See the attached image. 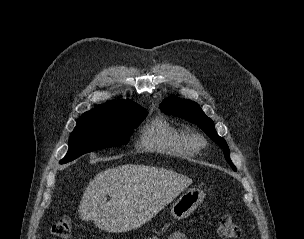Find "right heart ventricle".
<instances>
[{"label": "right heart ventricle", "mask_w": 304, "mask_h": 239, "mask_svg": "<svg viewBox=\"0 0 304 239\" xmlns=\"http://www.w3.org/2000/svg\"><path fill=\"white\" fill-rule=\"evenodd\" d=\"M140 145L148 151L177 157H191L197 152L186 131L160 117L152 119L142 128Z\"/></svg>", "instance_id": "e07e8e85"}]
</instances>
